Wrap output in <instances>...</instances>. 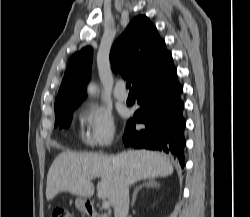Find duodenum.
<instances>
[{
	"instance_id": "1",
	"label": "duodenum",
	"mask_w": 250,
	"mask_h": 217,
	"mask_svg": "<svg viewBox=\"0 0 250 217\" xmlns=\"http://www.w3.org/2000/svg\"><path fill=\"white\" fill-rule=\"evenodd\" d=\"M86 209L89 215L93 216L95 214L94 209L90 205H86Z\"/></svg>"
}]
</instances>
